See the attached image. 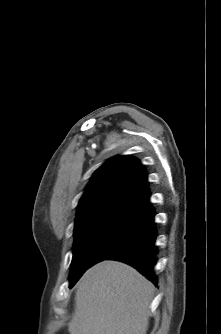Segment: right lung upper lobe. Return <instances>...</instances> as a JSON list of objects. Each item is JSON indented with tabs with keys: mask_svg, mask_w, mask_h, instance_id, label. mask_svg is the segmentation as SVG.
Returning <instances> with one entry per match:
<instances>
[{
	"mask_svg": "<svg viewBox=\"0 0 221 334\" xmlns=\"http://www.w3.org/2000/svg\"><path fill=\"white\" fill-rule=\"evenodd\" d=\"M147 174L139 160L117 156L98 168L79 201L75 227L87 218L104 214L148 217Z\"/></svg>",
	"mask_w": 221,
	"mask_h": 334,
	"instance_id": "1",
	"label": "right lung upper lobe"
}]
</instances>
